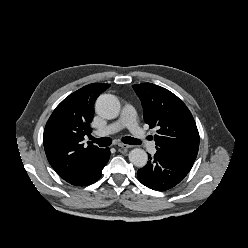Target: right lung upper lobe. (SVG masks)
Instances as JSON below:
<instances>
[{"label":"right lung upper lobe","instance_id":"1","mask_svg":"<svg viewBox=\"0 0 248 248\" xmlns=\"http://www.w3.org/2000/svg\"><path fill=\"white\" fill-rule=\"evenodd\" d=\"M109 84L92 83L66 97L46 123L43 144L47 159L64 180L77 175L100 148L88 142L94 102Z\"/></svg>","mask_w":248,"mask_h":248}]
</instances>
